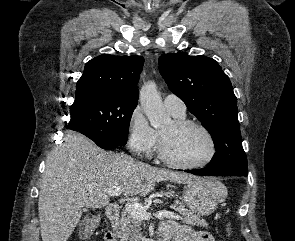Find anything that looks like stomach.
<instances>
[{
	"mask_svg": "<svg viewBox=\"0 0 295 241\" xmlns=\"http://www.w3.org/2000/svg\"><path fill=\"white\" fill-rule=\"evenodd\" d=\"M226 187L215 179H202L184 186L183 200L191 212L198 216L212 214L218 203L225 200Z\"/></svg>",
	"mask_w": 295,
	"mask_h": 241,
	"instance_id": "stomach-1",
	"label": "stomach"
}]
</instances>
